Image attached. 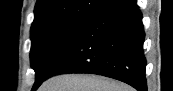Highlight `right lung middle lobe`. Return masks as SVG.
I'll use <instances>...</instances> for the list:
<instances>
[{"mask_svg":"<svg viewBox=\"0 0 173 91\" xmlns=\"http://www.w3.org/2000/svg\"><path fill=\"white\" fill-rule=\"evenodd\" d=\"M88 19L67 18L32 25L30 59L36 75L34 86L41 85L53 63Z\"/></svg>","mask_w":173,"mask_h":91,"instance_id":"1","label":"right lung middle lobe"}]
</instances>
